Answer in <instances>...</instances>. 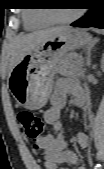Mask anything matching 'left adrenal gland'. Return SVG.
<instances>
[{
  "label": "left adrenal gland",
  "mask_w": 104,
  "mask_h": 169,
  "mask_svg": "<svg viewBox=\"0 0 104 169\" xmlns=\"http://www.w3.org/2000/svg\"><path fill=\"white\" fill-rule=\"evenodd\" d=\"M98 42V39H94L92 41V43H90L88 46H87V52H86V55H87V58H86V63L88 66L91 65V50L92 48L94 47V45Z\"/></svg>",
  "instance_id": "left-adrenal-gland-1"
}]
</instances>
